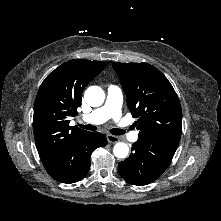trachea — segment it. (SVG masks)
I'll use <instances>...</instances> for the list:
<instances>
[{
    "label": "trachea",
    "instance_id": "obj_1",
    "mask_svg": "<svg viewBox=\"0 0 221 221\" xmlns=\"http://www.w3.org/2000/svg\"><path fill=\"white\" fill-rule=\"evenodd\" d=\"M79 126H80L81 128H83V129H86V130H91V131L97 130V127H96V126L90 125V124H88V125L79 124ZM110 132H111L113 135H122V134L125 133V132H124L123 130H121V129H112V130H110Z\"/></svg>",
    "mask_w": 221,
    "mask_h": 221
}]
</instances>
